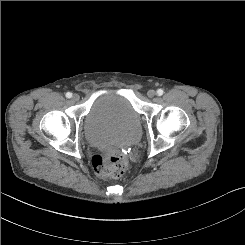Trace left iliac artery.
<instances>
[{"label":"left iliac artery","instance_id":"1","mask_svg":"<svg viewBox=\"0 0 245 245\" xmlns=\"http://www.w3.org/2000/svg\"><path fill=\"white\" fill-rule=\"evenodd\" d=\"M163 93H164V91H163L162 89H158V90H157V94H158L159 96L163 95Z\"/></svg>","mask_w":245,"mask_h":245}]
</instances>
